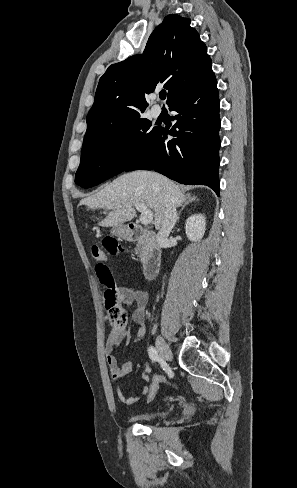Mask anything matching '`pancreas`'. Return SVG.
<instances>
[{
  "label": "pancreas",
  "instance_id": "1",
  "mask_svg": "<svg viewBox=\"0 0 297 488\" xmlns=\"http://www.w3.org/2000/svg\"><path fill=\"white\" fill-rule=\"evenodd\" d=\"M148 244L146 242H140L137 244L135 248L136 254L141 259V262L144 263L148 256Z\"/></svg>",
  "mask_w": 297,
  "mask_h": 488
}]
</instances>
